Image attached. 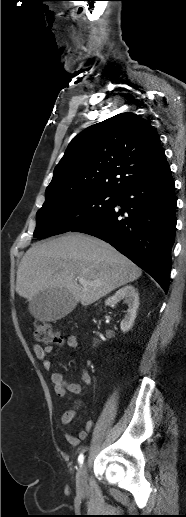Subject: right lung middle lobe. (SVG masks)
Listing matches in <instances>:
<instances>
[{
    "mask_svg": "<svg viewBox=\"0 0 186 517\" xmlns=\"http://www.w3.org/2000/svg\"><path fill=\"white\" fill-rule=\"evenodd\" d=\"M118 199L117 194L80 192L45 201L36 214L34 237L69 232L110 210Z\"/></svg>",
    "mask_w": 186,
    "mask_h": 517,
    "instance_id": "right-lung-middle-lobe-1",
    "label": "right lung middle lobe"
}]
</instances>
